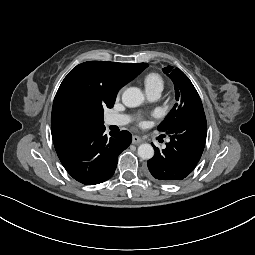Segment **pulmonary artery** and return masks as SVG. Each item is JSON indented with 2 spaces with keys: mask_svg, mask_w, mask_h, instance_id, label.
Here are the masks:
<instances>
[{
  "mask_svg": "<svg viewBox=\"0 0 255 255\" xmlns=\"http://www.w3.org/2000/svg\"><path fill=\"white\" fill-rule=\"evenodd\" d=\"M147 95L150 100H156L160 96L159 91L147 92ZM129 122V117L126 115H109L105 119V124L107 126L115 125V126H123Z\"/></svg>",
  "mask_w": 255,
  "mask_h": 255,
  "instance_id": "obj_1",
  "label": "pulmonary artery"
}]
</instances>
